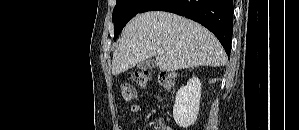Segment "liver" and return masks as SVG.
<instances>
[{"label":"liver","instance_id":"obj_1","mask_svg":"<svg viewBox=\"0 0 299 130\" xmlns=\"http://www.w3.org/2000/svg\"><path fill=\"white\" fill-rule=\"evenodd\" d=\"M164 50L158 54V50ZM155 57L161 71L197 66H224L226 54L205 27L176 14L151 11L136 15L124 28L113 53L112 74L118 75Z\"/></svg>","mask_w":299,"mask_h":130}]
</instances>
